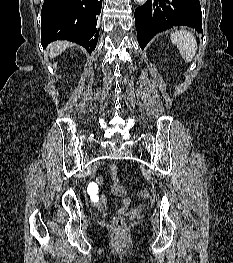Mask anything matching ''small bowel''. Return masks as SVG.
Listing matches in <instances>:
<instances>
[{
    "label": "small bowel",
    "mask_w": 233,
    "mask_h": 263,
    "mask_svg": "<svg viewBox=\"0 0 233 263\" xmlns=\"http://www.w3.org/2000/svg\"><path fill=\"white\" fill-rule=\"evenodd\" d=\"M116 176H117L116 173L112 170V192L117 196L123 197L120 207H118L116 210L118 212H126L130 208L131 201L128 197H125V190L121 182L116 181ZM96 182H98V185L102 184L103 178L98 177L96 179ZM98 197H99V202H94L96 206L102 211L107 210L106 197L102 195H98Z\"/></svg>",
    "instance_id": "obj_1"
}]
</instances>
